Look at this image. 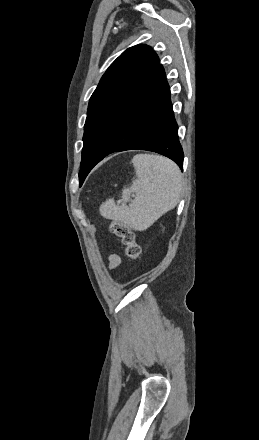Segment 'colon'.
<instances>
[{
  "instance_id": "obj_1",
  "label": "colon",
  "mask_w": 259,
  "mask_h": 440,
  "mask_svg": "<svg viewBox=\"0 0 259 440\" xmlns=\"http://www.w3.org/2000/svg\"><path fill=\"white\" fill-rule=\"evenodd\" d=\"M110 231L118 236L126 247V255L136 260L141 254V247L136 241L134 232L124 223L112 220L110 223Z\"/></svg>"
}]
</instances>
